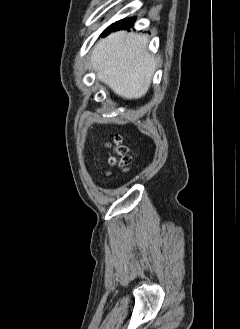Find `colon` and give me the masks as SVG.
<instances>
[{"instance_id": "obj_1", "label": "colon", "mask_w": 240, "mask_h": 329, "mask_svg": "<svg viewBox=\"0 0 240 329\" xmlns=\"http://www.w3.org/2000/svg\"><path fill=\"white\" fill-rule=\"evenodd\" d=\"M109 146L113 151V156L110 158L111 165L118 170L126 171L131 163L127 147L121 143L119 136L115 137Z\"/></svg>"}]
</instances>
